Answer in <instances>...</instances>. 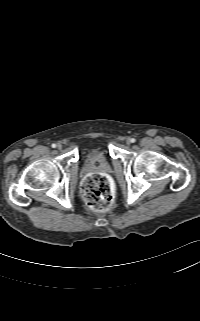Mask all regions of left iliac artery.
<instances>
[{
    "label": "left iliac artery",
    "mask_w": 200,
    "mask_h": 321,
    "mask_svg": "<svg viewBox=\"0 0 200 321\" xmlns=\"http://www.w3.org/2000/svg\"><path fill=\"white\" fill-rule=\"evenodd\" d=\"M136 140L134 138L131 139V142L134 143Z\"/></svg>",
    "instance_id": "left-iliac-artery-1"
}]
</instances>
